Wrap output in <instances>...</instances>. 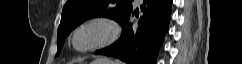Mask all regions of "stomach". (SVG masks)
I'll return each instance as SVG.
<instances>
[{
  "label": "stomach",
  "instance_id": "1",
  "mask_svg": "<svg viewBox=\"0 0 242 64\" xmlns=\"http://www.w3.org/2000/svg\"><path fill=\"white\" fill-rule=\"evenodd\" d=\"M92 64H112L111 62H106V58H100L92 62Z\"/></svg>",
  "mask_w": 242,
  "mask_h": 64
}]
</instances>
